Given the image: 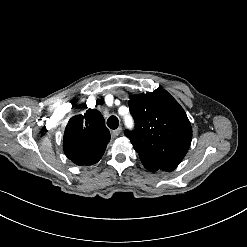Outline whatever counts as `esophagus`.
Returning a JSON list of instances; mask_svg holds the SVG:
<instances>
[{"label": "esophagus", "instance_id": "obj_1", "mask_svg": "<svg viewBox=\"0 0 247 247\" xmlns=\"http://www.w3.org/2000/svg\"><path fill=\"white\" fill-rule=\"evenodd\" d=\"M121 131H122L121 127L117 128L116 130H113L111 132L112 138H117L119 136V134L121 133Z\"/></svg>", "mask_w": 247, "mask_h": 247}]
</instances>
